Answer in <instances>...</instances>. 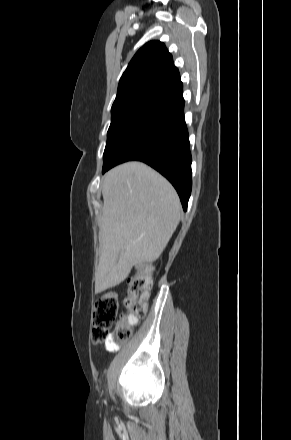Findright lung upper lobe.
<instances>
[{
    "mask_svg": "<svg viewBox=\"0 0 291 440\" xmlns=\"http://www.w3.org/2000/svg\"><path fill=\"white\" fill-rule=\"evenodd\" d=\"M179 82V71L165 45L150 41L130 61L120 79L113 104L136 98L155 99Z\"/></svg>",
    "mask_w": 291,
    "mask_h": 440,
    "instance_id": "obj_1",
    "label": "right lung upper lobe"
}]
</instances>
